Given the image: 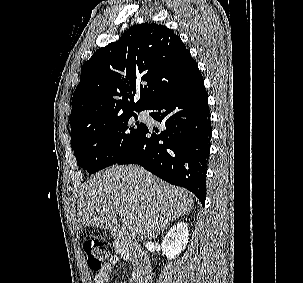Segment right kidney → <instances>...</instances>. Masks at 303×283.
<instances>
[{"label": "right kidney", "instance_id": "right-kidney-1", "mask_svg": "<svg viewBox=\"0 0 303 283\" xmlns=\"http://www.w3.org/2000/svg\"><path fill=\"white\" fill-rule=\"evenodd\" d=\"M189 230L186 223L173 226L162 241V251L170 260L176 258L188 243Z\"/></svg>", "mask_w": 303, "mask_h": 283}]
</instances>
